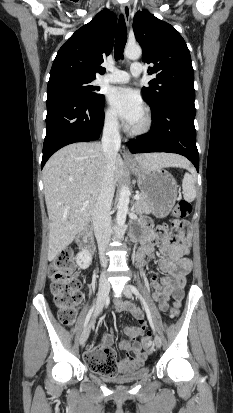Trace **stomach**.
Here are the masks:
<instances>
[{
	"mask_svg": "<svg viewBox=\"0 0 233 413\" xmlns=\"http://www.w3.org/2000/svg\"><path fill=\"white\" fill-rule=\"evenodd\" d=\"M129 166L137 176L141 193L152 206V213L157 217L167 216L177 199V183L174 177L161 168L147 169L137 163Z\"/></svg>",
	"mask_w": 233,
	"mask_h": 413,
	"instance_id": "0dacf381",
	"label": "stomach"
}]
</instances>
